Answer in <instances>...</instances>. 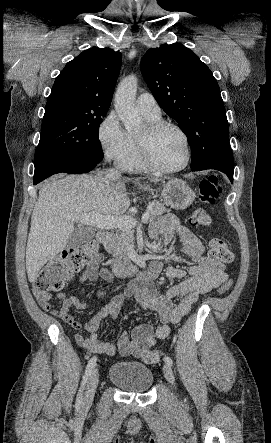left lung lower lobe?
I'll use <instances>...</instances> for the list:
<instances>
[{
  "instance_id": "left-lung-lower-lobe-1",
  "label": "left lung lower lobe",
  "mask_w": 271,
  "mask_h": 443,
  "mask_svg": "<svg viewBox=\"0 0 271 443\" xmlns=\"http://www.w3.org/2000/svg\"><path fill=\"white\" fill-rule=\"evenodd\" d=\"M206 169H216L219 170L225 174H227V176L230 178L231 181H233V172H234V167L231 168H227L218 164H204L198 167H194L191 168V171H200V170H206Z\"/></svg>"
}]
</instances>
